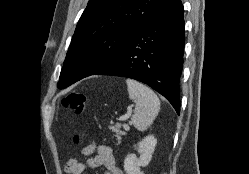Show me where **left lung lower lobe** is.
<instances>
[{
	"mask_svg": "<svg viewBox=\"0 0 249 174\" xmlns=\"http://www.w3.org/2000/svg\"><path fill=\"white\" fill-rule=\"evenodd\" d=\"M183 11L181 0H163L124 50L96 75L143 82L163 95L179 114L185 42Z\"/></svg>",
	"mask_w": 249,
	"mask_h": 174,
	"instance_id": "left-lung-lower-lobe-1",
	"label": "left lung lower lobe"
}]
</instances>
